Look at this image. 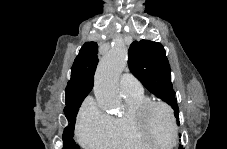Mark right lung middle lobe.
I'll return each mask as SVG.
<instances>
[{"instance_id":"right-lung-middle-lobe-1","label":"right lung middle lobe","mask_w":227,"mask_h":149,"mask_svg":"<svg viewBox=\"0 0 227 149\" xmlns=\"http://www.w3.org/2000/svg\"><path fill=\"white\" fill-rule=\"evenodd\" d=\"M82 101L64 109V113L69 124L64 129V132H63V149H79V146L76 145L74 142L73 132H74V125L76 121V115L78 113V110H79V107L81 106Z\"/></svg>"}]
</instances>
